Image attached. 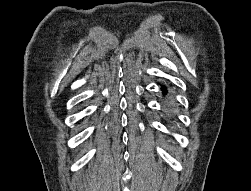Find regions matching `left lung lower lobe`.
<instances>
[{"label":"left lung lower lobe","instance_id":"0a47b994","mask_svg":"<svg viewBox=\"0 0 251 191\" xmlns=\"http://www.w3.org/2000/svg\"><path fill=\"white\" fill-rule=\"evenodd\" d=\"M162 91H163V94H166L167 93V91H166V87L165 86H162Z\"/></svg>","mask_w":251,"mask_h":191}]
</instances>
